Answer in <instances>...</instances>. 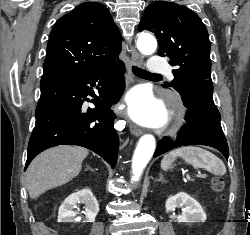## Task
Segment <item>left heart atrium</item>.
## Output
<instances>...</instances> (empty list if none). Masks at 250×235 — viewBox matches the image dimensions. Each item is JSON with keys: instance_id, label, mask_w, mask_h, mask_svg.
I'll list each match as a JSON object with an SVG mask.
<instances>
[{"instance_id": "1", "label": "left heart atrium", "mask_w": 250, "mask_h": 235, "mask_svg": "<svg viewBox=\"0 0 250 235\" xmlns=\"http://www.w3.org/2000/svg\"><path fill=\"white\" fill-rule=\"evenodd\" d=\"M127 107L132 119L147 126H160L166 119L163 105L143 89H135L128 95Z\"/></svg>"}]
</instances>
